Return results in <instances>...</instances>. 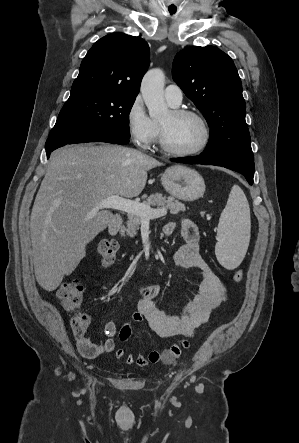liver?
Wrapping results in <instances>:
<instances>
[{
    "instance_id": "obj_1",
    "label": "liver",
    "mask_w": 299,
    "mask_h": 443,
    "mask_svg": "<svg viewBox=\"0 0 299 443\" xmlns=\"http://www.w3.org/2000/svg\"><path fill=\"white\" fill-rule=\"evenodd\" d=\"M161 162L122 146H66L52 153L30 217L36 280L55 290L86 255V246L112 223L104 198L138 196L147 171Z\"/></svg>"
}]
</instances>
